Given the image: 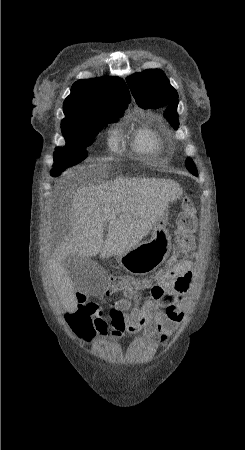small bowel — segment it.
Wrapping results in <instances>:
<instances>
[{
  "instance_id": "1",
  "label": "small bowel",
  "mask_w": 245,
  "mask_h": 450,
  "mask_svg": "<svg viewBox=\"0 0 245 450\" xmlns=\"http://www.w3.org/2000/svg\"><path fill=\"white\" fill-rule=\"evenodd\" d=\"M192 269V261L186 260L169 266L137 289H125L124 297L110 304L108 318L111 330L108 331L107 323L98 321L95 324L97 337L114 341L126 332L143 329L146 340L154 344L165 343L184 318L185 294L193 280ZM142 293H147V296L142 298ZM111 294L107 291L96 296L95 300L104 301ZM76 308L74 300H67L63 305L65 316L74 313Z\"/></svg>"
}]
</instances>
